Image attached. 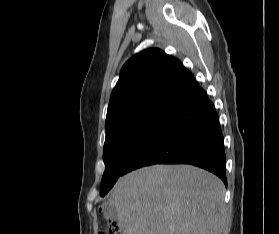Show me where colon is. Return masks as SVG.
I'll use <instances>...</instances> for the list:
<instances>
[{
	"instance_id": "1",
	"label": "colon",
	"mask_w": 279,
	"mask_h": 234,
	"mask_svg": "<svg viewBox=\"0 0 279 234\" xmlns=\"http://www.w3.org/2000/svg\"><path fill=\"white\" fill-rule=\"evenodd\" d=\"M100 234H124L119 224L113 221H109L106 226V231Z\"/></svg>"
}]
</instances>
